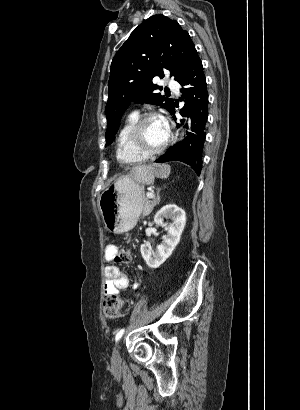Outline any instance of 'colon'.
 <instances>
[{"label": "colon", "mask_w": 300, "mask_h": 410, "mask_svg": "<svg viewBox=\"0 0 300 410\" xmlns=\"http://www.w3.org/2000/svg\"><path fill=\"white\" fill-rule=\"evenodd\" d=\"M114 259L117 263L126 264L131 260L130 250L127 247L118 248L115 252ZM123 306L122 299L116 293L106 294L103 301L104 315L109 319L118 318Z\"/></svg>", "instance_id": "5ec220e1"}]
</instances>
